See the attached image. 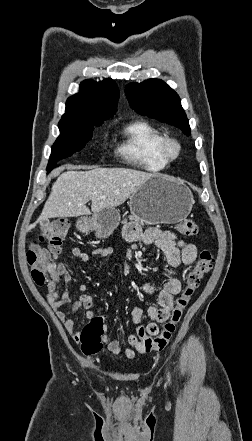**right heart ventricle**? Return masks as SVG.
Returning a JSON list of instances; mask_svg holds the SVG:
<instances>
[{"mask_svg": "<svg viewBox=\"0 0 252 441\" xmlns=\"http://www.w3.org/2000/svg\"><path fill=\"white\" fill-rule=\"evenodd\" d=\"M162 137L148 121L135 119L123 127L122 142L117 151L127 162L145 171L158 172L168 165L158 153Z\"/></svg>", "mask_w": 252, "mask_h": 441, "instance_id": "1", "label": "right heart ventricle"}]
</instances>
